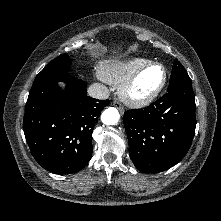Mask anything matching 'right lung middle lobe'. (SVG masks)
<instances>
[{
    "label": "right lung middle lobe",
    "instance_id": "dd1d6c3e",
    "mask_svg": "<svg viewBox=\"0 0 221 221\" xmlns=\"http://www.w3.org/2000/svg\"><path fill=\"white\" fill-rule=\"evenodd\" d=\"M71 65V59L67 54H62L52 60L35 78L31 89L43 84L48 79L62 74L67 73Z\"/></svg>",
    "mask_w": 221,
    "mask_h": 221
}]
</instances>
